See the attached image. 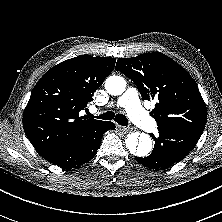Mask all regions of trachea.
Wrapping results in <instances>:
<instances>
[{"mask_svg":"<svg viewBox=\"0 0 222 222\" xmlns=\"http://www.w3.org/2000/svg\"><path fill=\"white\" fill-rule=\"evenodd\" d=\"M95 118L102 119V120H112L114 119L118 124L122 126H127L128 125V119L126 118L125 115L123 114H117L115 115L114 112L108 111L106 113H103L99 116H94Z\"/></svg>","mask_w":222,"mask_h":222,"instance_id":"1","label":"trachea"}]
</instances>
